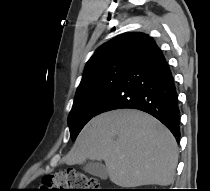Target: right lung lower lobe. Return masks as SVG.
I'll list each match as a JSON object with an SVG mask.
<instances>
[{"label": "right lung lower lobe", "instance_id": "right-lung-lower-lobe-1", "mask_svg": "<svg viewBox=\"0 0 210 191\" xmlns=\"http://www.w3.org/2000/svg\"><path fill=\"white\" fill-rule=\"evenodd\" d=\"M123 108L154 116L179 141L180 111L174 79L162 51L151 37L130 59L97 115Z\"/></svg>", "mask_w": 210, "mask_h": 191}]
</instances>
